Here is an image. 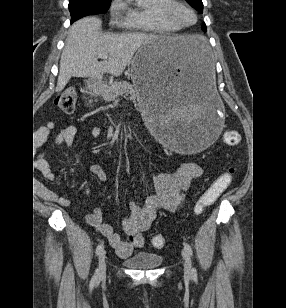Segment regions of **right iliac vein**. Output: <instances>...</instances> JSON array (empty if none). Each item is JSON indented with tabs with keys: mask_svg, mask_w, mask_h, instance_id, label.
Segmentation results:
<instances>
[{
	"mask_svg": "<svg viewBox=\"0 0 286 308\" xmlns=\"http://www.w3.org/2000/svg\"><path fill=\"white\" fill-rule=\"evenodd\" d=\"M106 275V251L102 250L99 254L97 277L103 278Z\"/></svg>",
	"mask_w": 286,
	"mask_h": 308,
	"instance_id": "63e3f726",
	"label": "right iliac vein"
}]
</instances>
